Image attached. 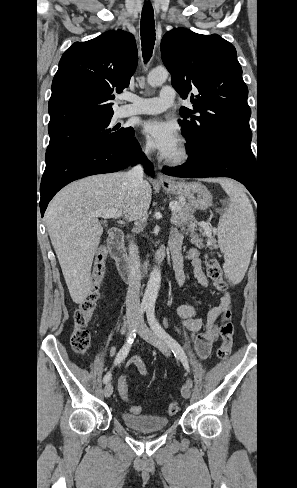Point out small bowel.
I'll return each instance as SVG.
<instances>
[{"label": "small bowel", "mask_w": 297, "mask_h": 488, "mask_svg": "<svg viewBox=\"0 0 297 488\" xmlns=\"http://www.w3.org/2000/svg\"><path fill=\"white\" fill-rule=\"evenodd\" d=\"M182 244V233L178 230H172L169 235L168 246L171 249L175 277L178 285L185 287L191 277L185 270L184 256L181 251ZM185 259L190 263L193 277L197 283L202 287H207L209 281L202 268L199 249L190 248L186 252ZM230 308L231 296L227 291L222 292L219 304L208 311L205 320L198 316L199 310L194 305L184 304L176 308V314L180 318L182 326L191 332L196 352L200 358L204 359L209 355L212 345L218 337V324L216 322ZM128 364L134 366L142 376H149L150 373L147 366L139 357H132Z\"/></svg>", "instance_id": "obj_1"}]
</instances>
